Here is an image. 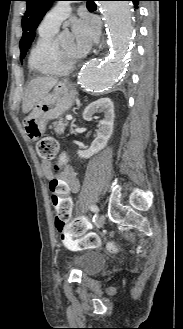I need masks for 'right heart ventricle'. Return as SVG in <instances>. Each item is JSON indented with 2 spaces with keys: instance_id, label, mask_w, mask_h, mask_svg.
Listing matches in <instances>:
<instances>
[{
  "instance_id": "1",
  "label": "right heart ventricle",
  "mask_w": 183,
  "mask_h": 329,
  "mask_svg": "<svg viewBox=\"0 0 183 329\" xmlns=\"http://www.w3.org/2000/svg\"><path fill=\"white\" fill-rule=\"evenodd\" d=\"M55 32H43L39 35L31 48L28 65L29 68L43 76L62 75L56 63V45L54 43Z\"/></svg>"
}]
</instances>
